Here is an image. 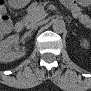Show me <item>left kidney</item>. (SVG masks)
I'll return each instance as SVG.
<instances>
[{
    "label": "left kidney",
    "instance_id": "obj_1",
    "mask_svg": "<svg viewBox=\"0 0 91 91\" xmlns=\"http://www.w3.org/2000/svg\"><path fill=\"white\" fill-rule=\"evenodd\" d=\"M82 46H83L84 48H88V47H89L88 41H87V40H83Z\"/></svg>",
    "mask_w": 91,
    "mask_h": 91
}]
</instances>
